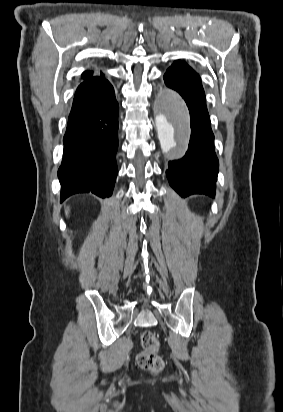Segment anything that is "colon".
I'll list each match as a JSON object with an SVG mask.
<instances>
[{
	"mask_svg": "<svg viewBox=\"0 0 283 412\" xmlns=\"http://www.w3.org/2000/svg\"><path fill=\"white\" fill-rule=\"evenodd\" d=\"M142 351L137 356L140 368L151 373H158L164 366L163 359L159 355L160 342L152 331H145L141 335Z\"/></svg>",
	"mask_w": 283,
	"mask_h": 412,
	"instance_id": "1",
	"label": "colon"
}]
</instances>
